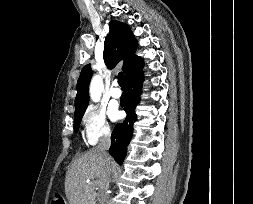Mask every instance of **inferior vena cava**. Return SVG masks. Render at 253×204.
<instances>
[{
	"label": "inferior vena cava",
	"instance_id": "inferior-vena-cava-1",
	"mask_svg": "<svg viewBox=\"0 0 253 204\" xmlns=\"http://www.w3.org/2000/svg\"><path fill=\"white\" fill-rule=\"evenodd\" d=\"M110 136V131L107 130L103 137L100 139L99 144L97 146V149L102 153L105 158V170L100 180L98 204H106L108 200L109 180L111 172L113 170L112 163L110 162L109 154L107 152L111 145Z\"/></svg>",
	"mask_w": 253,
	"mask_h": 204
}]
</instances>
